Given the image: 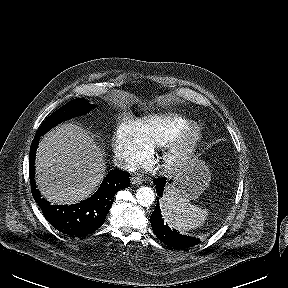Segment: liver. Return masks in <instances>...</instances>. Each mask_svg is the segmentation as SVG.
Here are the masks:
<instances>
[{"label":"liver","mask_w":288,"mask_h":288,"mask_svg":"<svg viewBox=\"0 0 288 288\" xmlns=\"http://www.w3.org/2000/svg\"><path fill=\"white\" fill-rule=\"evenodd\" d=\"M36 184L52 204L70 205L89 197L105 176L103 152L81 127L61 124L49 131L36 152Z\"/></svg>","instance_id":"6515ba94"}]
</instances>
